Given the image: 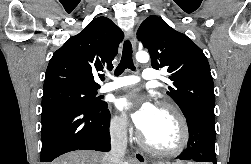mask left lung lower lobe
<instances>
[{"label": "left lung lower lobe", "instance_id": "left-lung-lower-lobe-1", "mask_svg": "<svg viewBox=\"0 0 251 164\" xmlns=\"http://www.w3.org/2000/svg\"><path fill=\"white\" fill-rule=\"evenodd\" d=\"M185 117L189 129L188 146L177 158L217 164L214 111L203 108L193 109L185 114Z\"/></svg>", "mask_w": 251, "mask_h": 164}]
</instances>
